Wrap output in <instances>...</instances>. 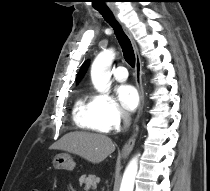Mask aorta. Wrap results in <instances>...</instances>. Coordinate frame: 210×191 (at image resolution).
I'll list each match as a JSON object with an SVG mask.
<instances>
[{
	"mask_svg": "<svg viewBox=\"0 0 210 191\" xmlns=\"http://www.w3.org/2000/svg\"><path fill=\"white\" fill-rule=\"evenodd\" d=\"M115 54L113 49L101 52L91 67V79L94 87L102 94L110 91V68ZM138 170V157H134L128 164L122 178L120 191H133L135 177Z\"/></svg>",
	"mask_w": 210,
	"mask_h": 191,
	"instance_id": "aorta-1",
	"label": "aorta"
}]
</instances>
